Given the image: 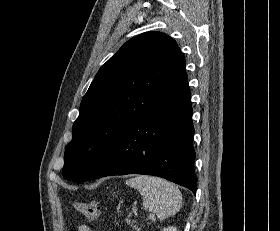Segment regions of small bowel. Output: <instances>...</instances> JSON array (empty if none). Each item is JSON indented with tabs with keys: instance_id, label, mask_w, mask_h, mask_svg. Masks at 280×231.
<instances>
[{
	"instance_id": "1",
	"label": "small bowel",
	"mask_w": 280,
	"mask_h": 231,
	"mask_svg": "<svg viewBox=\"0 0 280 231\" xmlns=\"http://www.w3.org/2000/svg\"><path fill=\"white\" fill-rule=\"evenodd\" d=\"M78 231H91V229L88 225L82 224L78 227Z\"/></svg>"
}]
</instances>
